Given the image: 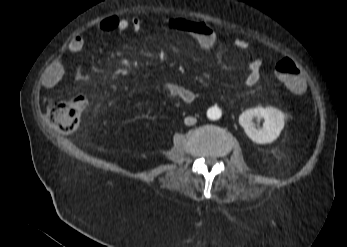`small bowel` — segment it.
Listing matches in <instances>:
<instances>
[{"label": "small bowel", "instance_id": "small-bowel-1", "mask_svg": "<svg viewBox=\"0 0 347 247\" xmlns=\"http://www.w3.org/2000/svg\"><path fill=\"white\" fill-rule=\"evenodd\" d=\"M169 28L177 32H185L192 36L201 48L204 50H212L218 42L216 32L212 27L201 20H187L176 19L169 21ZM142 28V21L138 18H118L116 16L108 17L99 25V31L102 33L124 32L129 29L139 31ZM85 45L84 38L81 35L74 36L67 45V49L72 53L80 52ZM232 46L240 53H246L249 48L247 40L242 37H236L232 40ZM250 71L245 78V83L248 86H253L259 81V71L262 63L258 59L250 61ZM64 75V65L61 61H54L46 70L42 84L46 89L55 88L61 81ZM79 80L85 82L87 76L83 73H78ZM162 87L173 97L181 100L186 104H190L195 100V93L193 90L176 83H163ZM305 91V88L302 92ZM77 98L84 99L83 95Z\"/></svg>", "mask_w": 347, "mask_h": 247}]
</instances>
